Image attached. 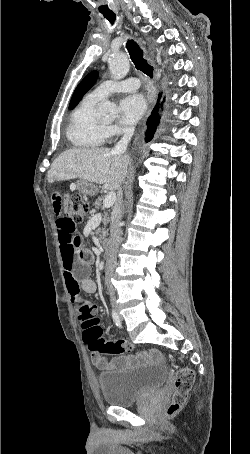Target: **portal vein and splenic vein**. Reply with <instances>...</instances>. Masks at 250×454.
Wrapping results in <instances>:
<instances>
[{
	"instance_id": "portal-vein-and-splenic-vein-1",
	"label": "portal vein and splenic vein",
	"mask_w": 250,
	"mask_h": 454,
	"mask_svg": "<svg viewBox=\"0 0 250 454\" xmlns=\"http://www.w3.org/2000/svg\"><path fill=\"white\" fill-rule=\"evenodd\" d=\"M116 201V193L115 192H109L104 200H103V208H110L113 206V204Z\"/></svg>"
}]
</instances>
